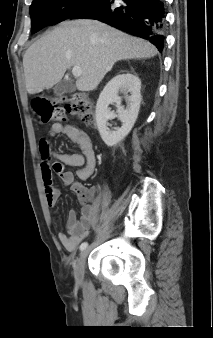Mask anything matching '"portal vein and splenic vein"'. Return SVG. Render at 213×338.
Here are the masks:
<instances>
[{
	"label": "portal vein and splenic vein",
	"instance_id": "portal-vein-and-splenic-vein-1",
	"mask_svg": "<svg viewBox=\"0 0 213 338\" xmlns=\"http://www.w3.org/2000/svg\"><path fill=\"white\" fill-rule=\"evenodd\" d=\"M72 74H73L75 77H80L81 74H82L81 68L78 67V66L73 67V69H72Z\"/></svg>",
	"mask_w": 213,
	"mask_h": 338
}]
</instances>
